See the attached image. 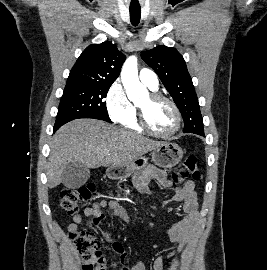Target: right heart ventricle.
Wrapping results in <instances>:
<instances>
[{
  "label": "right heart ventricle",
  "instance_id": "e07e8e85",
  "mask_svg": "<svg viewBox=\"0 0 267 270\" xmlns=\"http://www.w3.org/2000/svg\"><path fill=\"white\" fill-rule=\"evenodd\" d=\"M151 90H156V89H151ZM122 124L125 128H127L131 131H134L137 133H144L145 132L138 122V114H137V109L135 106H133L132 115L126 121H124Z\"/></svg>",
  "mask_w": 267,
  "mask_h": 270
}]
</instances>
